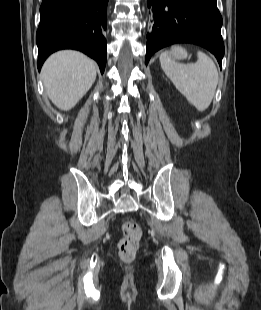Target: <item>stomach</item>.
I'll use <instances>...</instances> for the list:
<instances>
[{
    "instance_id": "1",
    "label": "stomach",
    "mask_w": 261,
    "mask_h": 310,
    "mask_svg": "<svg viewBox=\"0 0 261 310\" xmlns=\"http://www.w3.org/2000/svg\"><path fill=\"white\" fill-rule=\"evenodd\" d=\"M170 57L173 61H176L186 59L188 57V54L185 49L181 47H174L170 52Z\"/></svg>"
}]
</instances>
